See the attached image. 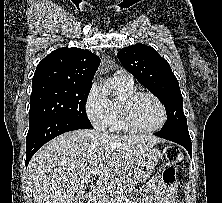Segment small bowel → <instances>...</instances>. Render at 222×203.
Masks as SVG:
<instances>
[{
  "instance_id": "small-bowel-1",
  "label": "small bowel",
  "mask_w": 222,
  "mask_h": 203,
  "mask_svg": "<svg viewBox=\"0 0 222 203\" xmlns=\"http://www.w3.org/2000/svg\"><path fill=\"white\" fill-rule=\"evenodd\" d=\"M176 193L177 185L175 183L166 184L160 178H154L147 186L139 190L137 197L147 203H174Z\"/></svg>"
}]
</instances>
